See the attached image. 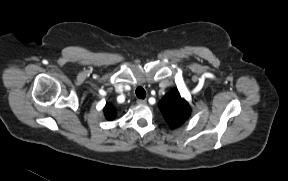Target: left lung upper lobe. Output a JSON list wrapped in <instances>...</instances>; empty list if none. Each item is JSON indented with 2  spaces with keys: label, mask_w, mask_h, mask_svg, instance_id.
<instances>
[{
  "label": "left lung upper lobe",
  "mask_w": 288,
  "mask_h": 181,
  "mask_svg": "<svg viewBox=\"0 0 288 181\" xmlns=\"http://www.w3.org/2000/svg\"><path fill=\"white\" fill-rule=\"evenodd\" d=\"M159 108L172 128L182 125L190 115L189 104L181 98L178 90H172L164 96L159 103Z\"/></svg>",
  "instance_id": "5c2ea615"
}]
</instances>
